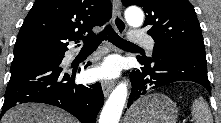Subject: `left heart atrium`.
Here are the masks:
<instances>
[{"label":"left heart atrium","instance_id":"1","mask_svg":"<svg viewBox=\"0 0 221 123\" xmlns=\"http://www.w3.org/2000/svg\"><path fill=\"white\" fill-rule=\"evenodd\" d=\"M120 66L117 60L108 59L100 66L90 71L91 79H110L118 75Z\"/></svg>","mask_w":221,"mask_h":123}]
</instances>
